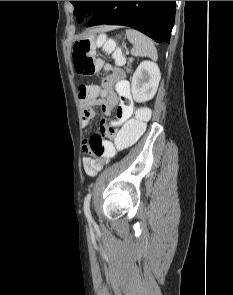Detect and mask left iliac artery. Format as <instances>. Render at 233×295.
I'll return each mask as SVG.
<instances>
[{"instance_id":"left-iliac-artery-1","label":"left iliac artery","mask_w":233,"mask_h":295,"mask_svg":"<svg viewBox=\"0 0 233 295\" xmlns=\"http://www.w3.org/2000/svg\"><path fill=\"white\" fill-rule=\"evenodd\" d=\"M90 200H91V193H88L84 200V213L87 220H92L91 212H90Z\"/></svg>"}]
</instances>
